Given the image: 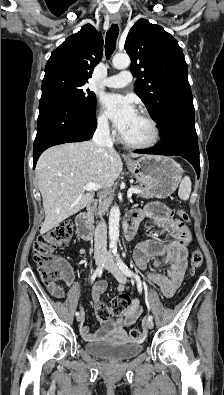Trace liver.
Returning <instances> with one entry per match:
<instances>
[{
    "mask_svg": "<svg viewBox=\"0 0 224 395\" xmlns=\"http://www.w3.org/2000/svg\"><path fill=\"white\" fill-rule=\"evenodd\" d=\"M131 157L137 158L139 155L132 154ZM122 168L121 158L115 149L103 150L93 141L47 149L36 166L45 211L40 233L48 232L90 204L94 192H85L83 187L86 184L96 183L100 188H109Z\"/></svg>",
    "mask_w": 224,
    "mask_h": 395,
    "instance_id": "liver-1",
    "label": "liver"
}]
</instances>
